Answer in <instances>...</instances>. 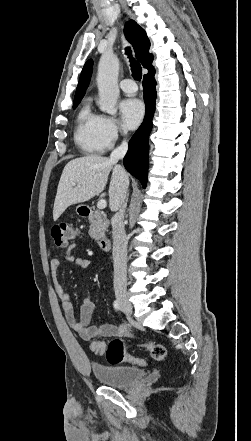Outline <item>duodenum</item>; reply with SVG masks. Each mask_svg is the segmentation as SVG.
<instances>
[{
	"label": "duodenum",
	"instance_id": "1",
	"mask_svg": "<svg viewBox=\"0 0 251 441\" xmlns=\"http://www.w3.org/2000/svg\"><path fill=\"white\" fill-rule=\"evenodd\" d=\"M90 214H91L90 208L83 207L81 209V215L82 216L88 217ZM98 245H99L101 250L108 251L110 249V246H111V240H110V238L108 236L102 235L98 239Z\"/></svg>",
	"mask_w": 251,
	"mask_h": 441
}]
</instances>
